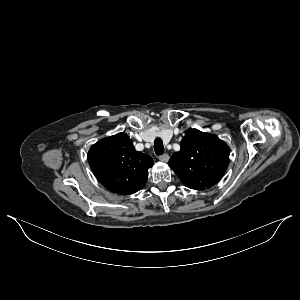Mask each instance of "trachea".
Listing matches in <instances>:
<instances>
[{"instance_id": "3493384b", "label": "trachea", "mask_w": 300, "mask_h": 300, "mask_svg": "<svg viewBox=\"0 0 300 300\" xmlns=\"http://www.w3.org/2000/svg\"><path fill=\"white\" fill-rule=\"evenodd\" d=\"M154 150H155V153L157 155H163L164 153V146H163V142L160 138H156L155 141H154Z\"/></svg>"}]
</instances>
